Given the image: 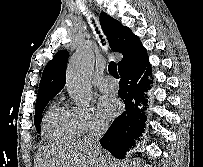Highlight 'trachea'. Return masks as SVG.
<instances>
[{"mask_svg":"<svg viewBox=\"0 0 203 167\" xmlns=\"http://www.w3.org/2000/svg\"><path fill=\"white\" fill-rule=\"evenodd\" d=\"M96 30H97V28H96ZM97 33L99 34V31H97ZM100 38H101V42H104V39H102L101 35H100ZM108 71L114 78L119 79V74H118V71H117V65H116L115 62L111 61L109 63Z\"/></svg>","mask_w":203,"mask_h":167,"instance_id":"obj_1","label":"trachea"}]
</instances>
